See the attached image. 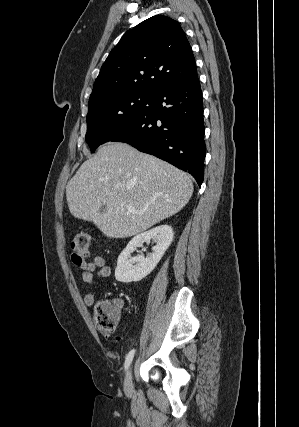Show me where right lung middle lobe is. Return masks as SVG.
Masks as SVG:
<instances>
[{"label":"right lung middle lobe","instance_id":"obj_1","mask_svg":"<svg viewBox=\"0 0 299 427\" xmlns=\"http://www.w3.org/2000/svg\"><path fill=\"white\" fill-rule=\"evenodd\" d=\"M153 93L123 92L89 105L85 140L91 152L132 126L149 108Z\"/></svg>","mask_w":299,"mask_h":427}]
</instances>
